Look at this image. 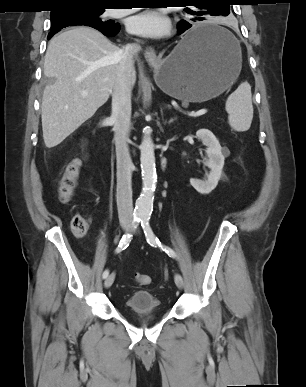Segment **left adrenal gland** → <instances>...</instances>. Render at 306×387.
Returning <instances> with one entry per match:
<instances>
[{
	"label": "left adrenal gland",
	"mask_w": 306,
	"mask_h": 387,
	"mask_svg": "<svg viewBox=\"0 0 306 387\" xmlns=\"http://www.w3.org/2000/svg\"><path fill=\"white\" fill-rule=\"evenodd\" d=\"M176 120H177V118L173 117V118H170V120L168 122L166 121V123H168L170 125L171 123H173Z\"/></svg>",
	"instance_id": "obj_1"
}]
</instances>
